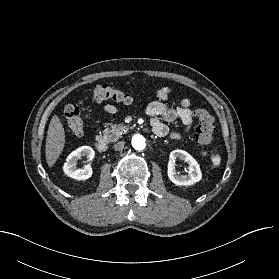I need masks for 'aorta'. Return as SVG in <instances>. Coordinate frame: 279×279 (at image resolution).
Masks as SVG:
<instances>
[{"label":"aorta","mask_w":279,"mask_h":279,"mask_svg":"<svg viewBox=\"0 0 279 279\" xmlns=\"http://www.w3.org/2000/svg\"><path fill=\"white\" fill-rule=\"evenodd\" d=\"M145 145V138L142 135L136 134L132 137V146L134 149L143 150Z\"/></svg>","instance_id":"obj_1"}]
</instances>
